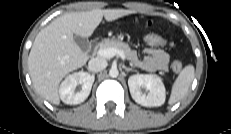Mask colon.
Masks as SVG:
<instances>
[{
    "instance_id": "obj_1",
    "label": "colon",
    "mask_w": 231,
    "mask_h": 134,
    "mask_svg": "<svg viewBox=\"0 0 231 134\" xmlns=\"http://www.w3.org/2000/svg\"><path fill=\"white\" fill-rule=\"evenodd\" d=\"M143 42L148 47L172 46L173 44L157 34H147L143 37ZM172 69L175 73L182 70V63L176 59L172 63Z\"/></svg>"
}]
</instances>
